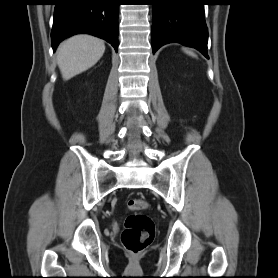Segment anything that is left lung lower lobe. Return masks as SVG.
<instances>
[{"instance_id": "0a47b994", "label": "left lung lower lobe", "mask_w": 278, "mask_h": 278, "mask_svg": "<svg viewBox=\"0 0 278 278\" xmlns=\"http://www.w3.org/2000/svg\"><path fill=\"white\" fill-rule=\"evenodd\" d=\"M152 48L177 42L199 50L206 58L208 29L205 0H152Z\"/></svg>"}]
</instances>
